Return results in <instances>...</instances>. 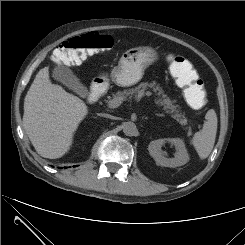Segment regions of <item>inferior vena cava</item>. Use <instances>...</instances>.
I'll return each instance as SVG.
<instances>
[{"instance_id":"obj_1","label":"inferior vena cava","mask_w":245,"mask_h":245,"mask_svg":"<svg viewBox=\"0 0 245 245\" xmlns=\"http://www.w3.org/2000/svg\"><path fill=\"white\" fill-rule=\"evenodd\" d=\"M99 116L110 118V119H114L115 118L114 116H111L109 114H99Z\"/></svg>"}]
</instances>
